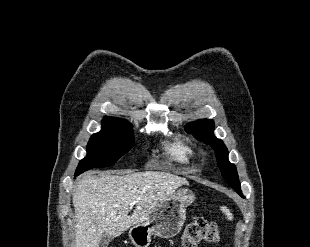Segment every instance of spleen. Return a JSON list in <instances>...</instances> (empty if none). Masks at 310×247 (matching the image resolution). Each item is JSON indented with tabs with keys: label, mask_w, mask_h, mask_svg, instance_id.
Here are the masks:
<instances>
[{
	"label": "spleen",
	"mask_w": 310,
	"mask_h": 247,
	"mask_svg": "<svg viewBox=\"0 0 310 247\" xmlns=\"http://www.w3.org/2000/svg\"><path fill=\"white\" fill-rule=\"evenodd\" d=\"M221 210H222L223 213H225V215H226L228 220H232L233 219V215L229 211V209H227L225 206H223V207H221Z\"/></svg>",
	"instance_id": "1"
}]
</instances>
